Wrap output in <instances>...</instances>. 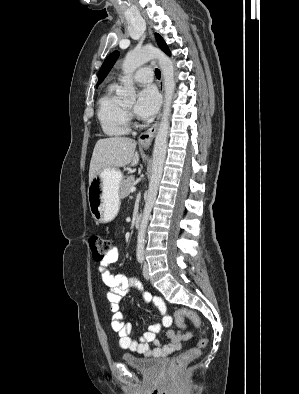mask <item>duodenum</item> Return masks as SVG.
Masks as SVG:
<instances>
[{"mask_svg": "<svg viewBox=\"0 0 299 394\" xmlns=\"http://www.w3.org/2000/svg\"><path fill=\"white\" fill-rule=\"evenodd\" d=\"M141 224H142V217H141V215H138L135 219L136 228H140Z\"/></svg>", "mask_w": 299, "mask_h": 394, "instance_id": "1", "label": "duodenum"}]
</instances>
